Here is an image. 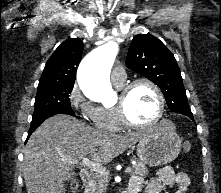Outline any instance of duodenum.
<instances>
[{"label":"duodenum","instance_id":"obj_1","mask_svg":"<svg viewBox=\"0 0 221 193\" xmlns=\"http://www.w3.org/2000/svg\"><path fill=\"white\" fill-rule=\"evenodd\" d=\"M91 171L87 168H84L80 172V178L85 185H88L91 181ZM122 193H136L134 189H126Z\"/></svg>","mask_w":221,"mask_h":193}]
</instances>
